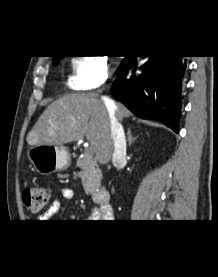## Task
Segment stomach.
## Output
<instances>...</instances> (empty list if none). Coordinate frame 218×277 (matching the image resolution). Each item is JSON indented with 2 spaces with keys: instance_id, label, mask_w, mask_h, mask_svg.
Segmentation results:
<instances>
[{
  "instance_id": "1",
  "label": "stomach",
  "mask_w": 218,
  "mask_h": 277,
  "mask_svg": "<svg viewBox=\"0 0 218 277\" xmlns=\"http://www.w3.org/2000/svg\"><path fill=\"white\" fill-rule=\"evenodd\" d=\"M28 159L36 172L48 175L70 166L71 158L64 146L39 144L27 152Z\"/></svg>"
}]
</instances>
